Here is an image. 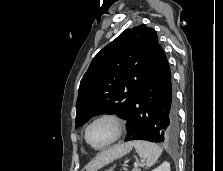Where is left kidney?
<instances>
[{
	"label": "left kidney",
	"instance_id": "1",
	"mask_svg": "<svg viewBox=\"0 0 223 171\" xmlns=\"http://www.w3.org/2000/svg\"><path fill=\"white\" fill-rule=\"evenodd\" d=\"M152 171H171L169 162L162 163L159 167L153 169Z\"/></svg>",
	"mask_w": 223,
	"mask_h": 171
}]
</instances>
